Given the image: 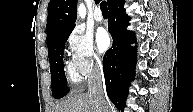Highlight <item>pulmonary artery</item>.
<instances>
[{
  "instance_id": "1",
  "label": "pulmonary artery",
  "mask_w": 193,
  "mask_h": 112,
  "mask_svg": "<svg viewBox=\"0 0 193 112\" xmlns=\"http://www.w3.org/2000/svg\"><path fill=\"white\" fill-rule=\"evenodd\" d=\"M94 19L97 22H101L103 20V15H102V13H101V11L99 9L95 10V12H94Z\"/></svg>"
}]
</instances>
